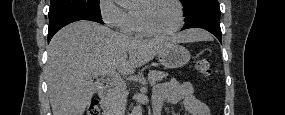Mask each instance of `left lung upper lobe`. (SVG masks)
Masks as SVG:
<instances>
[{
    "instance_id": "obj_1",
    "label": "left lung upper lobe",
    "mask_w": 285,
    "mask_h": 115,
    "mask_svg": "<svg viewBox=\"0 0 285 115\" xmlns=\"http://www.w3.org/2000/svg\"><path fill=\"white\" fill-rule=\"evenodd\" d=\"M184 7V15L188 14L192 9H194L196 6L210 1H216V0H180Z\"/></svg>"
}]
</instances>
